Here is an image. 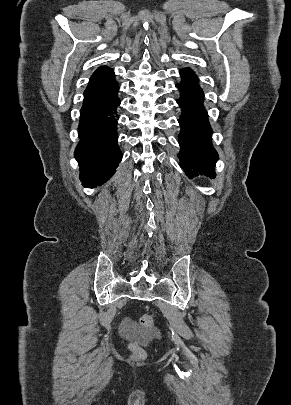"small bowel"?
Wrapping results in <instances>:
<instances>
[{"label": "small bowel", "instance_id": "c3829d8e", "mask_svg": "<svg viewBox=\"0 0 291 405\" xmlns=\"http://www.w3.org/2000/svg\"><path fill=\"white\" fill-rule=\"evenodd\" d=\"M123 325H124V327H126V328H134V323L130 320V319H128V318H126L124 321H123Z\"/></svg>", "mask_w": 291, "mask_h": 405}]
</instances>
